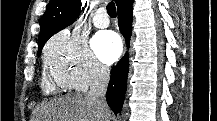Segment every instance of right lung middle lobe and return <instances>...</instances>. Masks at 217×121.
<instances>
[{
  "instance_id": "obj_1",
  "label": "right lung middle lobe",
  "mask_w": 217,
  "mask_h": 121,
  "mask_svg": "<svg viewBox=\"0 0 217 121\" xmlns=\"http://www.w3.org/2000/svg\"><path fill=\"white\" fill-rule=\"evenodd\" d=\"M40 54H41V51H39V52L37 53L38 56H40Z\"/></svg>"
}]
</instances>
